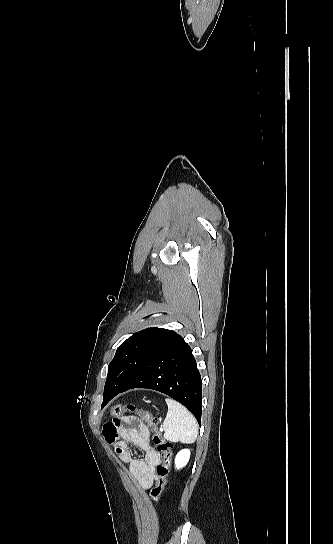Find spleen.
<instances>
[{
	"label": "spleen",
	"instance_id": "3e777b00",
	"mask_svg": "<svg viewBox=\"0 0 333 544\" xmlns=\"http://www.w3.org/2000/svg\"><path fill=\"white\" fill-rule=\"evenodd\" d=\"M168 412L163 422L164 438L172 442L193 443L198 426L193 415L179 402L167 398Z\"/></svg>",
	"mask_w": 333,
	"mask_h": 544
}]
</instances>
